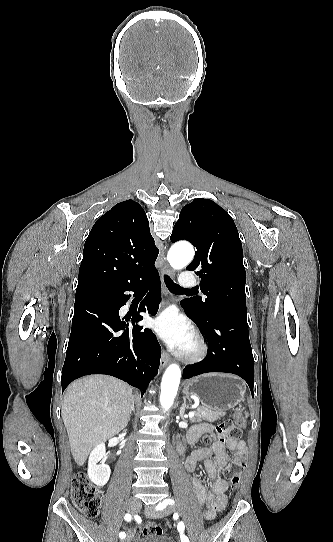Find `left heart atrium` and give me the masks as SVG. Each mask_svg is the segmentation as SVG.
Instances as JSON below:
<instances>
[{
  "mask_svg": "<svg viewBox=\"0 0 333 542\" xmlns=\"http://www.w3.org/2000/svg\"><path fill=\"white\" fill-rule=\"evenodd\" d=\"M153 327L172 351H183L194 335L191 322L174 307L161 312L153 322Z\"/></svg>",
  "mask_w": 333,
  "mask_h": 542,
  "instance_id": "left-heart-atrium-1",
  "label": "left heart atrium"
}]
</instances>
